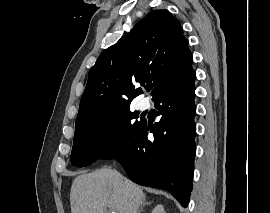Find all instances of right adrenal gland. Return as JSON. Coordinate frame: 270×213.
<instances>
[{"label":"right adrenal gland","instance_id":"1","mask_svg":"<svg viewBox=\"0 0 270 213\" xmlns=\"http://www.w3.org/2000/svg\"><path fill=\"white\" fill-rule=\"evenodd\" d=\"M150 204H152V202L144 201L143 204L140 206L137 213H140L146 205H150Z\"/></svg>","mask_w":270,"mask_h":213}]
</instances>
